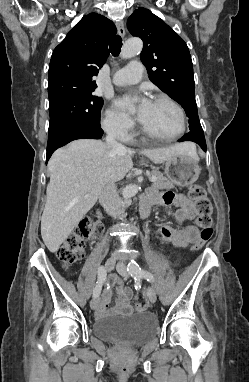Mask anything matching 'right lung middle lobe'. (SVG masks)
Segmentation results:
<instances>
[{"label": "right lung middle lobe", "instance_id": "dd1d6c3e", "mask_svg": "<svg viewBox=\"0 0 249 382\" xmlns=\"http://www.w3.org/2000/svg\"><path fill=\"white\" fill-rule=\"evenodd\" d=\"M103 100L93 94L71 96L49 104L48 134L76 124H100Z\"/></svg>", "mask_w": 249, "mask_h": 382}]
</instances>
